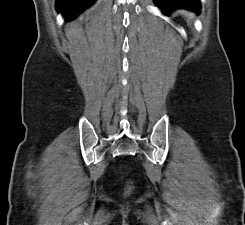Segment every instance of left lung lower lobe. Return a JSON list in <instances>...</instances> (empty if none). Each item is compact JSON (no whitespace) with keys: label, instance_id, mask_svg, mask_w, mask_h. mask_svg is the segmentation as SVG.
Instances as JSON below:
<instances>
[{"label":"left lung lower lobe","instance_id":"left-lung-lower-lobe-1","mask_svg":"<svg viewBox=\"0 0 245 225\" xmlns=\"http://www.w3.org/2000/svg\"><path fill=\"white\" fill-rule=\"evenodd\" d=\"M155 2L164 14H169L177 8H187L198 13L201 7L199 0H155Z\"/></svg>","mask_w":245,"mask_h":225}]
</instances>
